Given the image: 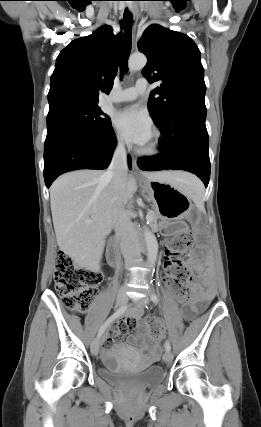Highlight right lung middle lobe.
Returning <instances> with one entry per match:
<instances>
[{
    "instance_id": "right-lung-middle-lobe-1",
    "label": "right lung middle lobe",
    "mask_w": 261,
    "mask_h": 427,
    "mask_svg": "<svg viewBox=\"0 0 261 427\" xmlns=\"http://www.w3.org/2000/svg\"><path fill=\"white\" fill-rule=\"evenodd\" d=\"M105 115L97 104H68L49 109L47 115V130L72 126L86 131H101L111 127V120Z\"/></svg>"
}]
</instances>
